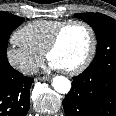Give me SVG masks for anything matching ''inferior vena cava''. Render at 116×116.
<instances>
[{
    "label": "inferior vena cava",
    "mask_w": 116,
    "mask_h": 116,
    "mask_svg": "<svg viewBox=\"0 0 116 116\" xmlns=\"http://www.w3.org/2000/svg\"><path fill=\"white\" fill-rule=\"evenodd\" d=\"M27 73L36 74L38 73V67L36 65H31L26 69Z\"/></svg>",
    "instance_id": "obj_1"
}]
</instances>
